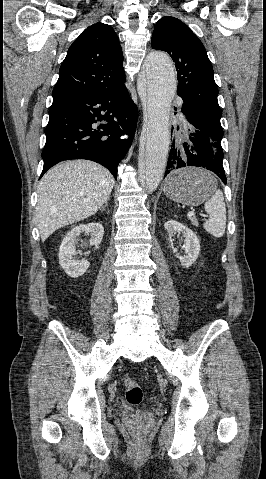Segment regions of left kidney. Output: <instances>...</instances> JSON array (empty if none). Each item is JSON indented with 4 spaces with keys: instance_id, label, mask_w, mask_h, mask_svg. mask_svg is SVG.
<instances>
[{
    "instance_id": "1",
    "label": "left kidney",
    "mask_w": 266,
    "mask_h": 479,
    "mask_svg": "<svg viewBox=\"0 0 266 479\" xmlns=\"http://www.w3.org/2000/svg\"><path fill=\"white\" fill-rule=\"evenodd\" d=\"M164 227L168 232L169 239L172 241L173 234H182L185 238L184 245L182 246L185 255L180 257L181 264L185 268H189L198 258L200 252V242L197 235L185 225L175 221L168 220Z\"/></svg>"
}]
</instances>
